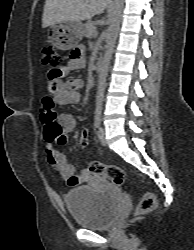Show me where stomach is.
<instances>
[{
    "label": "stomach",
    "mask_w": 194,
    "mask_h": 250,
    "mask_svg": "<svg viewBox=\"0 0 194 250\" xmlns=\"http://www.w3.org/2000/svg\"><path fill=\"white\" fill-rule=\"evenodd\" d=\"M50 41L59 50L74 48L83 38L84 26L81 22L66 21L51 26Z\"/></svg>",
    "instance_id": "1"
}]
</instances>
